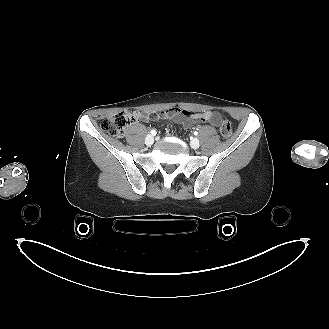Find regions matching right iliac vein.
Listing matches in <instances>:
<instances>
[{
  "label": "right iliac vein",
  "mask_w": 329,
  "mask_h": 329,
  "mask_svg": "<svg viewBox=\"0 0 329 329\" xmlns=\"http://www.w3.org/2000/svg\"><path fill=\"white\" fill-rule=\"evenodd\" d=\"M154 143V137L152 135H148L145 138V144L146 145H152Z\"/></svg>",
  "instance_id": "63e3f726"
}]
</instances>
